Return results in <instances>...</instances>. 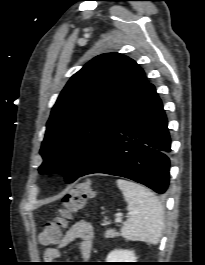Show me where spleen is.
Here are the masks:
<instances>
[{"mask_svg":"<svg viewBox=\"0 0 205 265\" xmlns=\"http://www.w3.org/2000/svg\"><path fill=\"white\" fill-rule=\"evenodd\" d=\"M116 182L131 213L121 228V235L126 240L158 244L164 229V213L158 198L148 188L135 182L123 179Z\"/></svg>","mask_w":205,"mask_h":265,"instance_id":"spleen-1","label":"spleen"}]
</instances>
